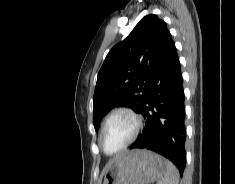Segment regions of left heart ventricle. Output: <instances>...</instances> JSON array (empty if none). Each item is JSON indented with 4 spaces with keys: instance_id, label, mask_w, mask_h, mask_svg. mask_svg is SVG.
Segmentation results:
<instances>
[{
    "instance_id": "obj_1",
    "label": "left heart ventricle",
    "mask_w": 235,
    "mask_h": 184,
    "mask_svg": "<svg viewBox=\"0 0 235 184\" xmlns=\"http://www.w3.org/2000/svg\"><path fill=\"white\" fill-rule=\"evenodd\" d=\"M133 131L134 121L129 115H116L102 134L103 149L109 154L117 152L131 137Z\"/></svg>"
}]
</instances>
